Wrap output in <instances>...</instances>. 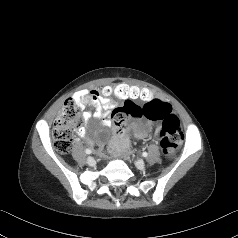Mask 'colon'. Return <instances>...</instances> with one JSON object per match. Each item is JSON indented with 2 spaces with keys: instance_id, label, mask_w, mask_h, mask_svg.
Here are the masks:
<instances>
[{
  "instance_id": "obj_1",
  "label": "colon",
  "mask_w": 238,
  "mask_h": 238,
  "mask_svg": "<svg viewBox=\"0 0 238 238\" xmlns=\"http://www.w3.org/2000/svg\"><path fill=\"white\" fill-rule=\"evenodd\" d=\"M98 93L103 98L120 100L124 106L114 108L111 119L116 127V137L109 145V151L117 156L126 151L127 147L122 136L125 133L126 121L129 117H145L151 121L161 123L160 145L166 156L174 154L182 144L184 134L178 117L172 113L171 106L160 100H150L152 92L147 87L140 85H125L123 83H103L98 88ZM147 102L139 107L132 101ZM150 100V101H149ZM82 119V107L74 100L65 101L62 110L53 127L55 149L62 154L68 153L73 145V132L79 128Z\"/></svg>"
}]
</instances>
